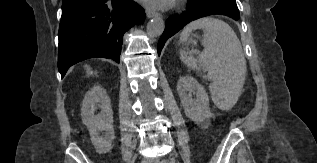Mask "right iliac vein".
Listing matches in <instances>:
<instances>
[{
	"label": "right iliac vein",
	"instance_id": "63e3f726",
	"mask_svg": "<svg viewBox=\"0 0 317 163\" xmlns=\"http://www.w3.org/2000/svg\"><path fill=\"white\" fill-rule=\"evenodd\" d=\"M141 163H149L147 160H143Z\"/></svg>",
	"mask_w": 317,
	"mask_h": 163
}]
</instances>
